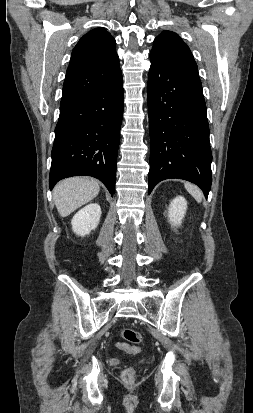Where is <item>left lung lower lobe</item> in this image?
I'll list each match as a JSON object with an SVG mask.
<instances>
[{
  "instance_id": "0a47b994",
  "label": "left lung lower lobe",
  "mask_w": 253,
  "mask_h": 413,
  "mask_svg": "<svg viewBox=\"0 0 253 413\" xmlns=\"http://www.w3.org/2000/svg\"><path fill=\"white\" fill-rule=\"evenodd\" d=\"M148 112L150 127V194L165 179L198 185L205 197L211 189L212 154L201 83L150 53Z\"/></svg>"
}]
</instances>
